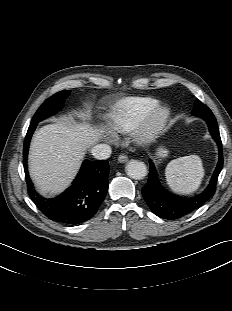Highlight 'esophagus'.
<instances>
[{
  "label": "esophagus",
  "mask_w": 232,
  "mask_h": 311,
  "mask_svg": "<svg viewBox=\"0 0 232 311\" xmlns=\"http://www.w3.org/2000/svg\"><path fill=\"white\" fill-rule=\"evenodd\" d=\"M118 161H119L120 163H125V162H127V161H128L127 155H124V154L119 155Z\"/></svg>",
  "instance_id": "esophagus-1"
}]
</instances>
